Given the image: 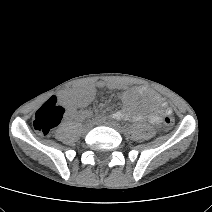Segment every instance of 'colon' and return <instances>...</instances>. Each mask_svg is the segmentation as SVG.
I'll list each match as a JSON object with an SVG mask.
<instances>
[{"instance_id":"obj_1","label":"colon","mask_w":212,"mask_h":212,"mask_svg":"<svg viewBox=\"0 0 212 212\" xmlns=\"http://www.w3.org/2000/svg\"><path fill=\"white\" fill-rule=\"evenodd\" d=\"M65 109L58 103L55 96L50 97L35 112L33 117L34 130L43 136L50 134L62 121ZM164 125L171 128L174 125V118L167 115L164 118Z\"/></svg>"}]
</instances>
